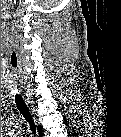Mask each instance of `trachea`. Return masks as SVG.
Masks as SVG:
<instances>
[{"label":"trachea","instance_id":"3493384b","mask_svg":"<svg viewBox=\"0 0 121 137\" xmlns=\"http://www.w3.org/2000/svg\"><path fill=\"white\" fill-rule=\"evenodd\" d=\"M15 100H16L17 108L19 109L21 114L24 116V118L29 122L31 128H33L34 123H33L32 117L27 109V106L24 104L23 100L20 98L19 95L15 96Z\"/></svg>","mask_w":121,"mask_h":137}]
</instances>
